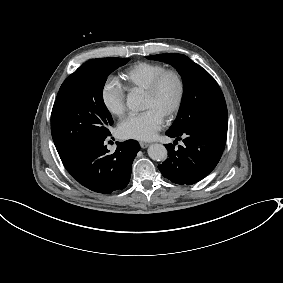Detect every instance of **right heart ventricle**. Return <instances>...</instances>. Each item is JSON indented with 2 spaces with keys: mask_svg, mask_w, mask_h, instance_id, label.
Instances as JSON below:
<instances>
[{
  "mask_svg": "<svg viewBox=\"0 0 283 283\" xmlns=\"http://www.w3.org/2000/svg\"><path fill=\"white\" fill-rule=\"evenodd\" d=\"M165 69L166 66L162 63L138 61L126 67L121 72V78L126 89L140 88L144 90Z\"/></svg>",
  "mask_w": 283,
  "mask_h": 283,
  "instance_id": "obj_1",
  "label": "right heart ventricle"
}]
</instances>
